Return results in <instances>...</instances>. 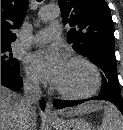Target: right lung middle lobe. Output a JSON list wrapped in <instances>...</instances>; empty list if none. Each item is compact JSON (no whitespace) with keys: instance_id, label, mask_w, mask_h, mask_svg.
Wrapping results in <instances>:
<instances>
[{"instance_id":"1","label":"right lung middle lobe","mask_w":123,"mask_h":130,"mask_svg":"<svg viewBox=\"0 0 123 130\" xmlns=\"http://www.w3.org/2000/svg\"><path fill=\"white\" fill-rule=\"evenodd\" d=\"M1 69L20 73L19 61L13 58L11 45H1Z\"/></svg>"}]
</instances>
